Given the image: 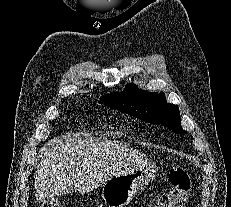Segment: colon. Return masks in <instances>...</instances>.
Listing matches in <instances>:
<instances>
[{"label": "colon", "instance_id": "obj_1", "mask_svg": "<svg viewBox=\"0 0 231 207\" xmlns=\"http://www.w3.org/2000/svg\"><path fill=\"white\" fill-rule=\"evenodd\" d=\"M171 189L153 198L148 207H184L191 188L188 173L179 167H174L169 172ZM41 207H64L57 199L47 200Z\"/></svg>", "mask_w": 231, "mask_h": 207}]
</instances>
